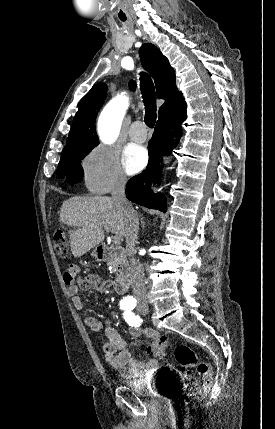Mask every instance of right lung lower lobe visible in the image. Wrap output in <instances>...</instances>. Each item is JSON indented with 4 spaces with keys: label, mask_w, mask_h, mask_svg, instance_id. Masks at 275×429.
<instances>
[{
    "label": "right lung lower lobe",
    "mask_w": 275,
    "mask_h": 429,
    "mask_svg": "<svg viewBox=\"0 0 275 429\" xmlns=\"http://www.w3.org/2000/svg\"><path fill=\"white\" fill-rule=\"evenodd\" d=\"M186 119V106L173 116L157 121L155 131L149 142V162L146 169L131 178L126 186V196L129 200L151 209L166 212V199L162 194L151 191V183L161 178L162 157L170 155L177 146L182 135L181 123ZM161 158V159H160Z\"/></svg>",
    "instance_id": "obj_1"
}]
</instances>
